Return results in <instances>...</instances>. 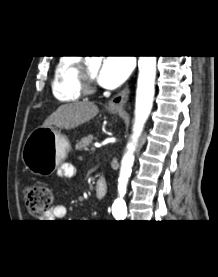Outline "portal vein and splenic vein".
Masks as SVG:
<instances>
[{
    "label": "portal vein and splenic vein",
    "instance_id": "obj_1",
    "mask_svg": "<svg viewBox=\"0 0 218 277\" xmlns=\"http://www.w3.org/2000/svg\"><path fill=\"white\" fill-rule=\"evenodd\" d=\"M96 148L94 146L91 147V151H95Z\"/></svg>",
    "mask_w": 218,
    "mask_h": 277
}]
</instances>
